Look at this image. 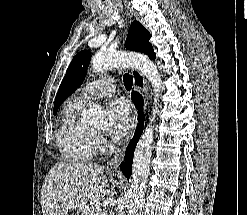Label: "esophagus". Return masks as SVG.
Here are the masks:
<instances>
[{
  "instance_id": "esophagus-1",
  "label": "esophagus",
  "mask_w": 247,
  "mask_h": 215,
  "mask_svg": "<svg viewBox=\"0 0 247 215\" xmlns=\"http://www.w3.org/2000/svg\"><path fill=\"white\" fill-rule=\"evenodd\" d=\"M131 74L133 77V86L134 89L143 97L148 93V84L144 76L137 69H131ZM137 125V109L134 108L132 116H131V127L130 133L127 136L124 144L117 150L115 155L111 158V160L107 163V171L109 172H119V164L124 159V153L126 149V145L128 141L132 138L135 128Z\"/></svg>"
}]
</instances>
